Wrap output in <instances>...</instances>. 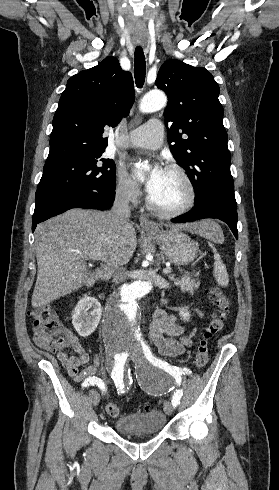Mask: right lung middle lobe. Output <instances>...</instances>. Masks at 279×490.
Returning a JSON list of instances; mask_svg holds the SVG:
<instances>
[{"label":"right lung middle lobe","instance_id":"dd1d6c3e","mask_svg":"<svg viewBox=\"0 0 279 490\" xmlns=\"http://www.w3.org/2000/svg\"><path fill=\"white\" fill-rule=\"evenodd\" d=\"M103 152L104 149L83 157L46 162L36 197L51 191H114L116 184L114 161L101 158Z\"/></svg>","mask_w":279,"mask_h":490}]
</instances>
